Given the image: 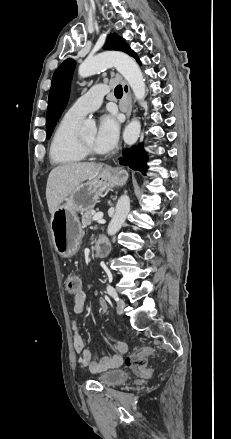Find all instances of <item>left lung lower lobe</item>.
Instances as JSON below:
<instances>
[{"label": "left lung lower lobe", "mask_w": 231, "mask_h": 439, "mask_svg": "<svg viewBox=\"0 0 231 439\" xmlns=\"http://www.w3.org/2000/svg\"><path fill=\"white\" fill-rule=\"evenodd\" d=\"M138 63H140L138 56L134 57ZM147 155L142 147V144L131 147L129 149H125L123 151V157L120 158V164L129 166L133 170L141 171L145 174L146 169L148 168L146 165Z\"/></svg>", "instance_id": "1"}]
</instances>
